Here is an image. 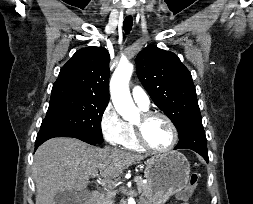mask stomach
Returning a JSON list of instances; mask_svg holds the SVG:
<instances>
[{"instance_id":"1","label":"stomach","mask_w":253,"mask_h":204,"mask_svg":"<svg viewBox=\"0 0 253 204\" xmlns=\"http://www.w3.org/2000/svg\"><path fill=\"white\" fill-rule=\"evenodd\" d=\"M144 176L151 190L144 196L149 204H165L184 189L189 181L190 163L179 152L156 155L146 161Z\"/></svg>"}]
</instances>
